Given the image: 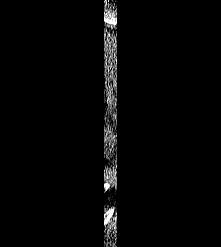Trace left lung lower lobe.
<instances>
[{
  "instance_id": "obj_1",
  "label": "left lung lower lobe",
  "mask_w": 221,
  "mask_h": 247,
  "mask_svg": "<svg viewBox=\"0 0 221 247\" xmlns=\"http://www.w3.org/2000/svg\"><path fill=\"white\" fill-rule=\"evenodd\" d=\"M83 164L74 174L69 186V195L82 208L87 219L94 224H103L104 190L103 171Z\"/></svg>"
}]
</instances>
